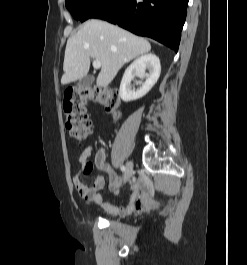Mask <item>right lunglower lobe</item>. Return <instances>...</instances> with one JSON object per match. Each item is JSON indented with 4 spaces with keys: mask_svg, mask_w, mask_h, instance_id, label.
I'll use <instances>...</instances> for the list:
<instances>
[{
    "mask_svg": "<svg viewBox=\"0 0 247 265\" xmlns=\"http://www.w3.org/2000/svg\"><path fill=\"white\" fill-rule=\"evenodd\" d=\"M188 0H100L80 19L99 18L178 51Z\"/></svg>",
    "mask_w": 247,
    "mask_h": 265,
    "instance_id": "1",
    "label": "right lung lower lobe"
}]
</instances>
